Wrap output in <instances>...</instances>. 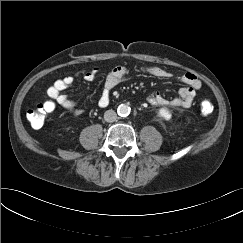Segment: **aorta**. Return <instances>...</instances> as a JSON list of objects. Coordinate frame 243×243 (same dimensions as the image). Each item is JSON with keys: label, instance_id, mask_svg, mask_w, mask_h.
I'll list each match as a JSON object with an SVG mask.
<instances>
[{"label": "aorta", "instance_id": "obj_1", "mask_svg": "<svg viewBox=\"0 0 243 243\" xmlns=\"http://www.w3.org/2000/svg\"><path fill=\"white\" fill-rule=\"evenodd\" d=\"M131 108L127 104H120L117 108L119 116L126 117L130 114Z\"/></svg>", "mask_w": 243, "mask_h": 243}]
</instances>
